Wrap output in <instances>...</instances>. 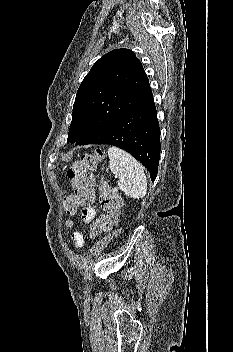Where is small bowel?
Returning <instances> with one entry per match:
<instances>
[{
  "instance_id": "1",
  "label": "small bowel",
  "mask_w": 233,
  "mask_h": 352,
  "mask_svg": "<svg viewBox=\"0 0 233 352\" xmlns=\"http://www.w3.org/2000/svg\"><path fill=\"white\" fill-rule=\"evenodd\" d=\"M95 216V210L91 206H87L82 211V218L85 222L91 221ZM73 240L77 248H81L84 244L83 236L79 232L73 234Z\"/></svg>"
}]
</instances>
